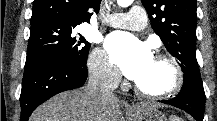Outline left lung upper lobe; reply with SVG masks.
Masks as SVG:
<instances>
[{"label":"left lung upper lobe","instance_id":"1","mask_svg":"<svg viewBox=\"0 0 217 121\" xmlns=\"http://www.w3.org/2000/svg\"><path fill=\"white\" fill-rule=\"evenodd\" d=\"M155 33L179 61L184 79L202 83L196 60V0H141Z\"/></svg>","mask_w":217,"mask_h":121}]
</instances>
